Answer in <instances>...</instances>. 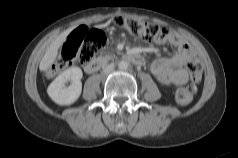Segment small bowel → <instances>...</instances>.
<instances>
[{
  "mask_svg": "<svg viewBox=\"0 0 238 158\" xmlns=\"http://www.w3.org/2000/svg\"><path fill=\"white\" fill-rule=\"evenodd\" d=\"M157 44H169L176 47L171 57L156 59L150 67L153 76L163 85L185 84L189 75L185 70V63L194 57V49L177 33L166 31L165 36L155 40Z\"/></svg>",
  "mask_w": 238,
  "mask_h": 158,
  "instance_id": "c3829d8e",
  "label": "small bowel"
}]
</instances>
